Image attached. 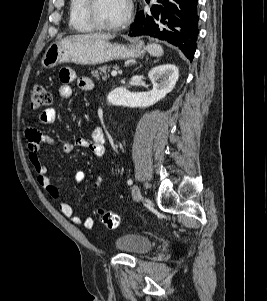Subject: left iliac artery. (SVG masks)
<instances>
[{
  "mask_svg": "<svg viewBox=\"0 0 267 301\" xmlns=\"http://www.w3.org/2000/svg\"><path fill=\"white\" fill-rule=\"evenodd\" d=\"M132 183H133L132 179H129V180L127 181V184H128V185H132Z\"/></svg>",
  "mask_w": 267,
  "mask_h": 301,
  "instance_id": "obj_1",
  "label": "left iliac artery"
}]
</instances>
